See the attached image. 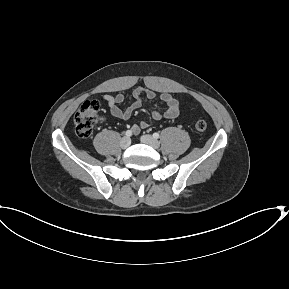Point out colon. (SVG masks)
<instances>
[{"instance_id": "1", "label": "colon", "mask_w": 289, "mask_h": 289, "mask_svg": "<svg viewBox=\"0 0 289 289\" xmlns=\"http://www.w3.org/2000/svg\"><path fill=\"white\" fill-rule=\"evenodd\" d=\"M100 103L96 100L85 101L74 116V129L80 138H87L91 135L98 120ZM207 128L205 120H198L195 123L197 132H204Z\"/></svg>"}]
</instances>
